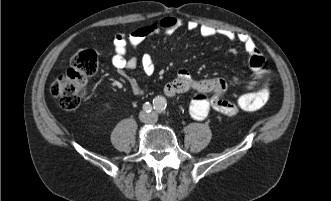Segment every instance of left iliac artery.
I'll use <instances>...</instances> for the list:
<instances>
[{
  "label": "left iliac artery",
  "instance_id": "44dca946",
  "mask_svg": "<svg viewBox=\"0 0 331 201\" xmlns=\"http://www.w3.org/2000/svg\"><path fill=\"white\" fill-rule=\"evenodd\" d=\"M166 108V102L163 98H156L154 100V109H156V111L158 112H163Z\"/></svg>",
  "mask_w": 331,
  "mask_h": 201
}]
</instances>
